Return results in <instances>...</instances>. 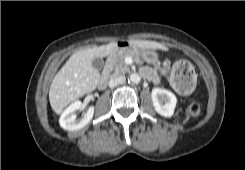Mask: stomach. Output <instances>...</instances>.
<instances>
[{
    "instance_id": "obj_1",
    "label": "stomach",
    "mask_w": 245,
    "mask_h": 170,
    "mask_svg": "<svg viewBox=\"0 0 245 170\" xmlns=\"http://www.w3.org/2000/svg\"><path fill=\"white\" fill-rule=\"evenodd\" d=\"M121 51H132L138 55H140L143 60H145L147 63H151V64H155L157 62V54L155 51L148 49H140L137 47H131V46H124V45H120L117 49V52H121ZM116 52L113 53V57H115ZM187 69L186 75L185 77H190V84L188 85V87L186 85H182V91L185 93H190L193 91L195 85H196V79H195V73L193 71V68L191 65H185V64H177L175 65V67L172 69V75H174V73L178 70H184Z\"/></svg>"
}]
</instances>
